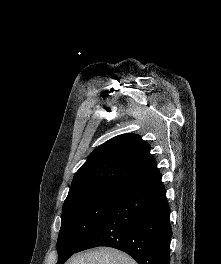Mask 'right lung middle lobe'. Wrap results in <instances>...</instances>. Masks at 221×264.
Returning a JSON list of instances; mask_svg holds the SVG:
<instances>
[{
	"mask_svg": "<svg viewBox=\"0 0 221 264\" xmlns=\"http://www.w3.org/2000/svg\"><path fill=\"white\" fill-rule=\"evenodd\" d=\"M125 186L102 185L67 196L58 236V263L82 245L121 196Z\"/></svg>",
	"mask_w": 221,
	"mask_h": 264,
	"instance_id": "obj_1",
	"label": "right lung middle lobe"
}]
</instances>
